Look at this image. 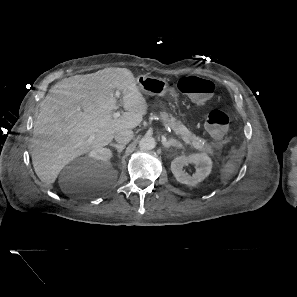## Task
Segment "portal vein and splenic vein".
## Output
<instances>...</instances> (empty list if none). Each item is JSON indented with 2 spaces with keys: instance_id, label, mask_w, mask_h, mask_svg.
Segmentation results:
<instances>
[{
  "instance_id": "18ae733b",
  "label": "portal vein and splenic vein",
  "mask_w": 297,
  "mask_h": 297,
  "mask_svg": "<svg viewBox=\"0 0 297 297\" xmlns=\"http://www.w3.org/2000/svg\"><path fill=\"white\" fill-rule=\"evenodd\" d=\"M116 96L118 97L119 96V92H116ZM120 116V112H115L114 114H113V117L114 118H118ZM182 138V140L185 142V143H187V144H189V141L186 139V138H184V137H181Z\"/></svg>"
}]
</instances>
